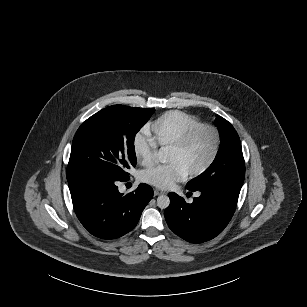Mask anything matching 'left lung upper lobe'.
I'll return each mask as SVG.
<instances>
[{
	"label": "left lung upper lobe",
	"mask_w": 307,
	"mask_h": 307,
	"mask_svg": "<svg viewBox=\"0 0 307 307\" xmlns=\"http://www.w3.org/2000/svg\"><path fill=\"white\" fill-rule=\"evenodd\" d=\"M220 147L213 163L186 185L190 191L219 189L239 196L245 176V163L239 136L224 118L217 117Z\"/></svg>",
	"instance_id": "5c2ea615"
}]
</instances>
